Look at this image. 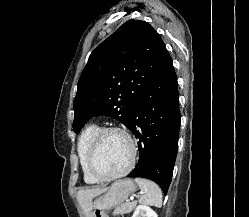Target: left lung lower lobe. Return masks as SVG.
I'll use <instances>...</instances> for the list:
<instances>
[{
  "instance_id": "left-lung-lower-lobe-1",
  "label": "left lung lower lobe",
  "mask_w": 249,
  "mask_h": 217,
  "mask_svg": "<svg viewBox=\"0 0 249 217\" xmlns=\"http://www.w3.org/2000/svg\"><path fill=\"white\" fill-rule=\"evenodd\" d=\"M128 128L139 139V161L127 177L150 179L167 194L180 128L177 77L171 57L139 98Z\"/></svg>"
}]
</instances>
